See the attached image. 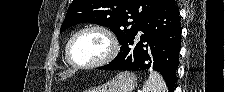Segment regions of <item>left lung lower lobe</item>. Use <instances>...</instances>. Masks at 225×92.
I'll use <instances>...</instances> for the list:
<instances>
[{
	"instance_id": "0a47b994",
	"label": "left lung lower lobe",
	"mask_w": 225,
	"mask_h": 92,
	"mask_svg": "<svg viewBox=\"0 0 225 92\" xmlns=\"http://www.w3.org/2000/svg\"><path fill=\"white\" fill-rule=\"evenodd\" d=\"M142 31L140 42L134 38ZM181 23L175 0H165L138 27L135 35L124 42L107 70H155L164 78L170 92L176 83L181 46Z\"/></svg>"
}]
</instances>
